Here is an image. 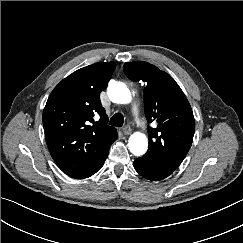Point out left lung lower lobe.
Segmentation results:
<instances>
[{"label": "left lung lower lobe", "mask_w": 243, "mask_h": 243, "mask_svg": "<svg viewBox=\"0 0 243 243\" xmlns=\"http://www.w3.org/2000/svg\"><path fill=\"white\" fill-rule=\"evenodd\" d=\"M134 168L142 177L155 181L162 180L171 175L173 172L141 157L134 161Z\"/></svg>", "instance_id": "0a47b994"}]
</instances>
